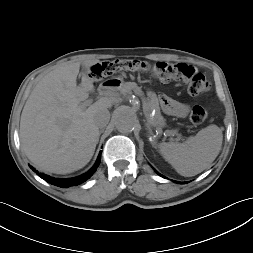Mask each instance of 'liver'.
<instances>
[{
	"label": "liver",
	"mask_w": 253,
	"mask_h": 253,
	"mask_svg": "<svg viewBox=\"0 0 253 253\" xmlns=\"http://www.w3.org/2000/svg\"><path fill=\"white\" fill-rule=\"evenodd\" d=\"M96 59L67 62L47 73L34 87L23 108L20 141L27 158L41 170L65 174L84 167L99 140L94 118L112 106L102 97L87 109L81 102L94 91L87 76ZM86 70L77 85L80 66Z\"/></svg>",
	"instance_id": "6515ba94"
}]
</instances>
